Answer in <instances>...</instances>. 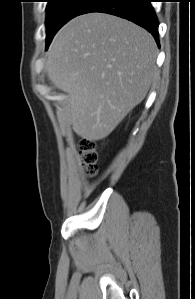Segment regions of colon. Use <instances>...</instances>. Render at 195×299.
Listing matches in <instances>:
<instances>
[{
    "label": "colon",
    "instance_id": "colon-1",
    "mask_svg": "<svg viewBox=\"0 0 195 299\" xmlns=\"http://www.w3.org/2000/svg\"><path fill=\"white\" fill-rule=\"evenodd\" d=\"M79 149L85 174L89 177L94 176L97 172L99 158L96 142L89 137H83L79 142Z\"/></svg>",
    "mask_w": 195,
    "mask_h": 299
}]
</instances>
